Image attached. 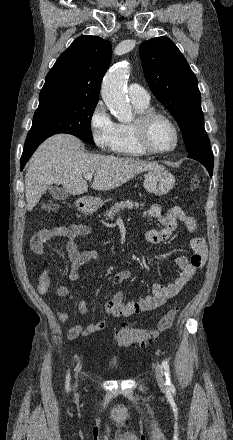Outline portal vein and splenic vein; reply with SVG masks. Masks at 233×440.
Masks as SVG:
<instances>
[{
	"label": "portal vein and splenic vein",
	"instance_id": "portal-vein-and-splenic-vein-1",
	"mask_svg": "<svg viewBox=\"0 0 233 440\" xmlns=\"http://www.w3.org/2000/svg\"><path fill=\"white\" fill-rule=\"evenodd\" d=\"M92 177H93L92 174H86V175H84V178L87 179V180H91Z\"/></svg>",
	"mask_w": 233,
	"mask_h": 440
}]
</instances>
